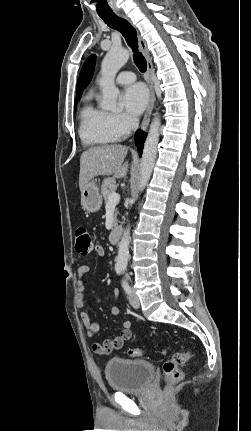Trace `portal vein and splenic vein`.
Wrapping results in <instances>:
<instances>
[{"mask_svg": "<svg viewBox=\"0 0 251 431\" xmlns=\"http://www.w3.org/2000/svg\"><path fill=\"white\" fill-rule=\"evenodd\" d=\"M120 201V195L118 193H112L109 196V204L116 205Z\"/></svg>", "mask_w": 251, "mask_h": 431, "instance_id": "1", "label": "portal vein and splenic vein"}]
</instances>
